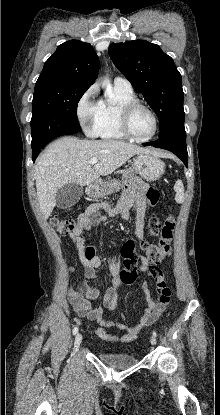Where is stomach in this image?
<instances>
[{"mask_svg":"<svg viewBox=\"0 0 220 415\" xmlns=\"http://www.w3.org/2000/svg\"><path fill=\"white\" fill-rule=\"evenodd\" d=\"M133 161L134 170L146 181L159 179L165 171L163 161L151 154H138ZM122 184L117 179L99 180L89 185L86 192L89 197L101 198L118 192L122 188Z\"/></svg>","mask_w":220,"mask_h":415,"instance_id":"obj_1","label":"stomach"}]
</instances>
